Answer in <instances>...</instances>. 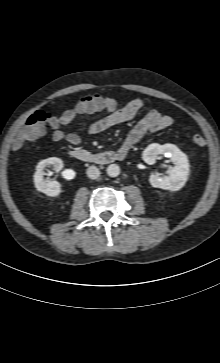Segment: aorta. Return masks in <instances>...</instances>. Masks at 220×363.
Segmentation results:
<instances>
[{"mask_svg": "<svg viewBox=\"0 0 220 363\" xmlns=\"http://www.w3.org/2000/svg\"><path fill=\"white\" fill-rule=\"evenodd\" d=\"M107 174L110 177H117L120 174V167L117 164H111L107 167Z\"/></svg>", "mask_w": 220, "mask_h": 363, "instance_id": "1", "label": "aorta"}]
</instances>
